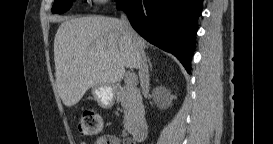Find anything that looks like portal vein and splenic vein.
I'll return each instance as SVG.
<instances>
[{
  "instance_id": "portal-vein-and-splenic-vein-1",
  "label": "portal vein and splenic vein",
  "mask_w": 273,
  "mask_h": 144,
  "mask_svg": "<svg viewBox=\"0 0 273 144\" xmlns=\"http://www.w3.org/2000/svg\"><path fill=\"white\" fill-rule=\"evenodd\" d=\"M136 84H137V77L134 74H130L127 77V86L133 87V86H136Z\"/></svg>"
}]
</instances>
